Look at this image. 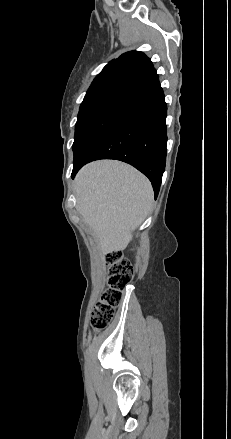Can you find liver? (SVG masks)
I'll return each instance as SVG.
<instances>
[{"mask_svg":"<svg viewBox=\"0 0 231 439\" xmlns=\"http://www.w3.org/2000/svg\"><path fill=\"white\" fill-rule=\"evenodd\" d=\"M76 209L93 230L102 254L123 250L152 210L150 181L114 160L84 166L75 179Z\"/></svg>","mask_w":231,"mask_h":439,"instance_id":"6515ba94","label":"liver"}]
</instances>
